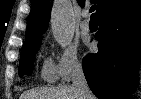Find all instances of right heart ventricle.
Instances as JSON below:
<instances>
[{
  "instance_id": "e07e8e85",
  "label": "right heart ventricle",
  "mask_w": 141,
  "mask_h": 99,
  "mask_svg": "<svg viewBox=\"0 0 141 99\" xmlns=\"http://www.w3.org/2000/svg\"><path fill=\"white\" fill-rule=\"evenodd\" d=\"M41 77L47 81L52 82L55 78V69L51 60L46 59L41 69Z\"/></svg>"
}]
</instances>
